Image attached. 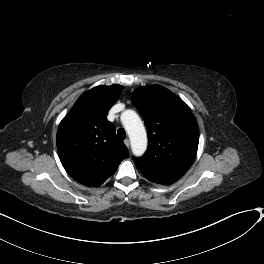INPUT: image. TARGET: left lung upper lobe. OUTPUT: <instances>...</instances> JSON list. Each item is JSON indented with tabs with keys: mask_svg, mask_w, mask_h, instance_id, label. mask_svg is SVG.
Masks as SVG:
<instances>
[{
	"mask_svg": "<svg viewBox=\"0 0 264 264\" xmlns=\"http://www.w3.org/2000/svg\"><path fill=\"white\" fill-rule=\"evenodd\" d=\"M134 106L143 115L148 149L133 158L150 181L170 185L179 180L196 158L199 128L189 106L160 85L144 86L132 94Z\"/></svg>",
	"mask_w": 264,
	"mask_h": 264,
	"instance_id": "obj_1",
	"label": "left lung upper lobe"
}]
</instances>
